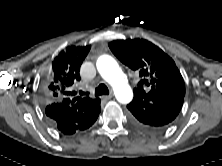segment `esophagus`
Returning <instances> with one entry per match:
<instances>
[{"mask_svg":"<svg viewBox=\"0 0 222 166\" xmlns=\"http://www.w3.org/2000/svg\"><path fill=\"white\" fill-rule=\"evenodd\" d=\"M112 98V95H104L102 96V99L104 100H110Z\"/></svg>","mask_w":222,"mask_h":166,"instance_id":"34e87169","label":"esophagus"}]
</instances>
